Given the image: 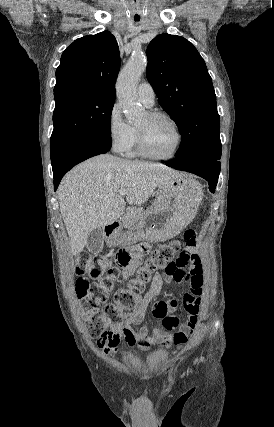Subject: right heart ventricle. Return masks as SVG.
Returning <instances> with one entry per match:
<instances>
[{
    "label": "right heart ventricle",
    "instance_id": "obj_1",
    "mask_svg": "<svg viewBox=\"0 0 274 427\" xmlns=\"http://www.w3.org/2000/svg\"><path fill=\"white\" fill-rule=\"evenodd\" d=\"M125 155L129 158H136L139 157V153L136 147V138H135V130H134V137L133 140L130 144V146L128 147V149L125 151Z\"/></svg>",
    "mask_w": 274,
    "mask_h": 427
}]
</instances>
